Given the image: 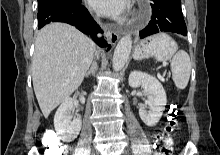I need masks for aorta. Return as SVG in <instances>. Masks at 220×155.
I'll use <instances>...</instances> for the list:
<instances>
[{"label":"aorta","mask_w":220,"mask_h":155,"mask_svg":"<svg viewBox=\"0 0 220 155\" xmlns=\"http://www.w3.org/2000/svg\"><path fill=\"white\" fill-rule=\"evenodd\" d=\"M132 48V38L127 35L118 42L112 60L114 71H120L126 64Z\"/></svg>","instance_id":"aorta-1"}]
</instances>
